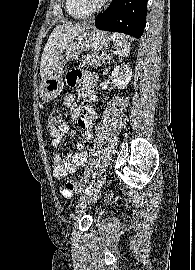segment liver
Listing matches in <instances>:
<instances>
[{"mask_svg":"<svg viewBox=\"0 0 195 270\" xmlns=\"http://www.w3.org/2000/svg\"><path fill=\"white\" fill-rule=\"evenodd\" d=\"M88 25L64 23L57 25L50 34L47 43L43 49L40 62L41 84L47 77L49 70L57 64L69 42L89 29Z\"/></svg>","mask_w":195,"mask_h":270,"instance_id":"6515ba94","label":"liver"}]
</instances>
